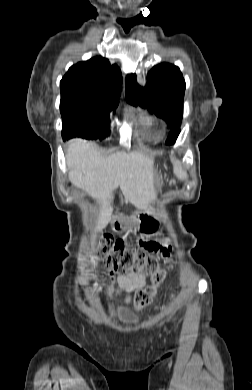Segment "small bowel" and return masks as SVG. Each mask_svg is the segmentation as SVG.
<instances>
[{"label":"small bowel","mask_w":252,"mask_h":390,"mask_svg":"<svg viewBox=\"0 0 252 390\" xmlns=\"http://www.w3.org/2000/svg\"><path fill=\"white\" fill-rule=\"evenodd\" d=\"M171 249L172 247L169 242L161 243L157 240L149 241L148 251L160 254L164 258L169 257ZM110 275L113 278L114 284L111 285L108 290L109 298L116 297L120 291H125L128 293L125 297V303L131 302V293L133 291L144 287L146 284V277L143 274L130 272L114 275L111 272Z\"/></svg>","instance_id":"c3829d8e"}]
</instances>
